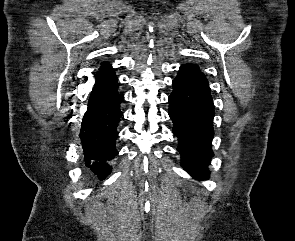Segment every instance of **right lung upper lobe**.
<instances>
[{"mask_svg": "<svg viewBox=\"0 0 295 241\" xmlns=\"http://www.w3.org/2000/svg\"><path fill=\"white\" fill-rule=\"evenodd\" d=\"M96 82L94 87L104 86L117 80L114 69L107 63H104L95 74Z\"/></svg>", "mask_w": 295, "mask_h": 241, "instance_id": "right-lung-upper-lobe-1", "label": "right lung upper lobe"}]
</instances>
